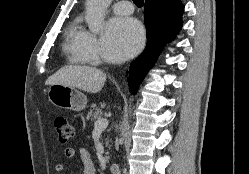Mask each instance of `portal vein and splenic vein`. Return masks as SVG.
<instances>
[{
    "instance_id": "1",
    "label": "portal vein and splenic vein",
    "mask_w": 249,
    "mask_h": 174,
    "mask_svg": "<svg viewBox=\"0 0 249 174\" xmlns=\"http://www.w3.org/2000/svg\"><path fill=\"white\" fill-rule=\"evenodd\" d=\"M108 123L106 118H100L94 123V130L103 131L107 128Z\"/></svg>"
}]
</instances>
